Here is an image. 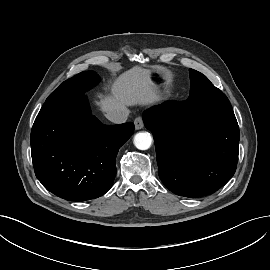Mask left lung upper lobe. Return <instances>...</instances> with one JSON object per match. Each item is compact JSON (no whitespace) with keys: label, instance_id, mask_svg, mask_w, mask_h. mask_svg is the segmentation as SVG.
Segmentation results:
<instances>
[{"label":"left lung upper lobe","instance_id":"left-lung-upper-lobe-1","mask_svg":"<svg viewBox=\"0 0 270 270\" xmlns=\"http://www.w3.org/2000/svg\"><path fill=\"white\" fill-rule=\"evenodd\" d=\"M190 91L196 92L201 108L205 111L214 109H231V104L225 94L215 87L202 73L189 69Z\"/></svg>","mask_w":270,"mask_h":270}]
</instances>
